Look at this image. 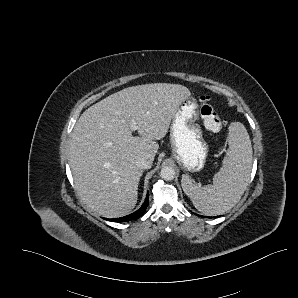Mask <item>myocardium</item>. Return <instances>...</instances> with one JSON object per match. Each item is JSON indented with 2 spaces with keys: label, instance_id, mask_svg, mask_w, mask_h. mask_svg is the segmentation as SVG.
<instances>
[{
  "label": "myocardium",
  "instance_id": "1",
  "mask_svg": "<svg viewBox=\"0 0 298 298\" xmlns=\"http://www.w3.org/2000/svg\"><path fill=\"white\" fill-rule=\"evenodd\" d=\"M149 163H150V160L145 165H148Z\"/></svg>",
  "mask_w": 298,
  "mask_h": 298
}]
</instances>
